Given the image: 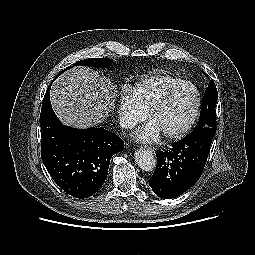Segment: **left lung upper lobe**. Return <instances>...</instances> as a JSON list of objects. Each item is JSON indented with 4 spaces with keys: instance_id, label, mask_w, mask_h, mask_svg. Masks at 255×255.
Returning a JSON list of instances; mask_svg holds the SVG:
<instances>
[{
    "instance_id": "left-lung-upper-lobe-1",
    "label": "left lung upper lobe",
    "mask_w": 255,
    "mask_h": 255,
    "mask_svg": "<svg viewBox=\"0 0 255 255\" xmlns=\"http://www.w3.org/2000/svg\"><path fill=\"white\" fill-rule=\"evenodd\" d=\"M218 99V93L215 83L210 80L207 87L205 97L203 100V105L200 112V118L195 130L212 127L216 128V103Z\"/></svg>"
}]
</instances>
